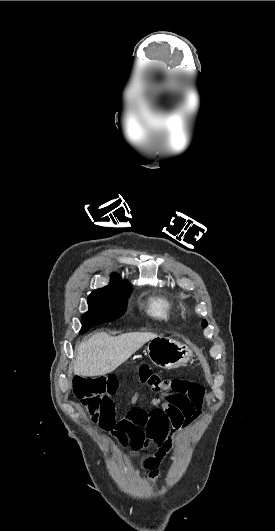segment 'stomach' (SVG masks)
I'll return each instance as SVG.
<instances>
[{
  "label": "stomach",
  "instance_id": "0dacf381",
  "mask_svg": "<svg viewBox=\"0 0 275 531\" xmlns=\"http://www.w3.org/2000/svg\"><path fill=\"white\" fill-rule=\"evenodd\" d=\"M193 351L188 345L178 343L171 337H154L144 352L145 361H152L161 369H178L192 361Z\"/></svg>",
  "mask_w": 275,
  "mask_h": 531
}]
</instances>
